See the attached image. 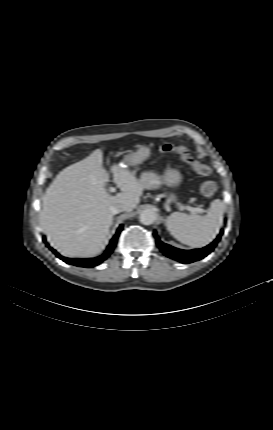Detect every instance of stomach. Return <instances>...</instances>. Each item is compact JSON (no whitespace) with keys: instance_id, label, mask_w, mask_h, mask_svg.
I'll return each instance as SVG.
<instances>
[{"instance_id":"obj_1","label":"stomach","mask_w":273,"mask_h":430,"mask_svg":"<svg viewBox=\"0 0 273 430\" xmlns=\"http://www.w3.org/2000/svg\"><path fill=\"white\" fill-rule=\"evenodd\" d=\"M150 155L151 149L146 145H141L136 152L125 157L123 164L127 166L137 165L148 159ZM163 182L168 187L176 188L182 182V174L177 169L167 168L164 173ZM169 198L173 202L176 201L174 193H170Z\"/></svg>"}]
</instances>
